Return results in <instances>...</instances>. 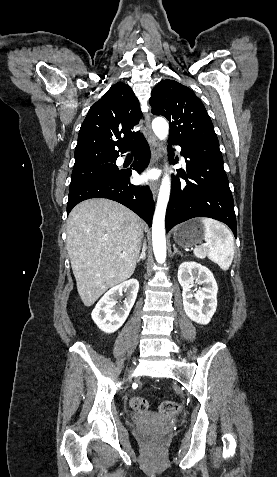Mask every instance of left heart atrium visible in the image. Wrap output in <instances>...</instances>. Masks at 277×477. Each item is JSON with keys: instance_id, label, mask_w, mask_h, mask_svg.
I'll return each mask as SVG.
<instances>
[{"instance_id": "left-heart-atrium-1", "label": "left heart atrium", "mask_w": 277, "mask_h": 477, "mask_svg": "<svg viewBox=\"0 0 277 477\" xmlns=\"http://www.w3.org/2000/svg\"><path fill=\"white\" fill-rule=\"evenodd\" d=\"M154 174L153 173H148V174H145L142 176V179L143 180H147L149 178H153Z\"/></svg>"}]
</instances>
